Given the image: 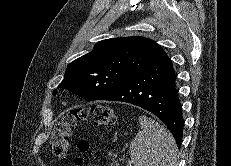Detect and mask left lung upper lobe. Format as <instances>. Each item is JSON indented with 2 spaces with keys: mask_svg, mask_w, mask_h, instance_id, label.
I'll use <instances>...</instances> for the list:
<instances>
[{
  "mask_svg": "<svg viewBox=\"0 0 231 166\" xmlns=\"http://www.w3.org/2000/svg\"><path fill=\"white\" fill-rule=\"evenodd\" d=\"M163 52L156 42L140 36L102 40L68 65L59 87L87 101L98 100Z\"/></svg>",
  "mask_w": 231,
  "mask_h": 166,
  "instance_id": "1",
  "label": "left lung upper lobe"
}]
</instances>
